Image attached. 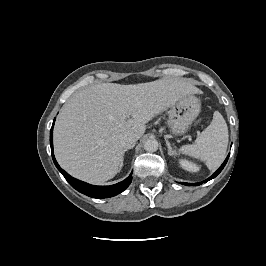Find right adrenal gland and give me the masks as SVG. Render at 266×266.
<instances>
[{
  "instance_id": "2a0ac1e0",
  "label": "right adrenal gland",
  "mask_w": 266,
  "mask_h": 266,
  "mask_svg": "<svg viewBox=\"0 0 266 266\" xmlns=\"http://www.w3.org/2000/svg\"><path fill=\"white\" fill-rule=\"evenodd\" d=\"M125 151H127V150H125ZM122 166H123V160H122V162L120 164V170H121Z\"/></svg>"
}]
</instances>
